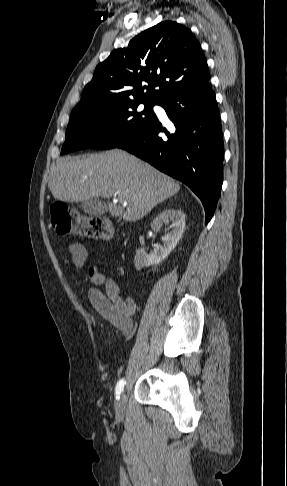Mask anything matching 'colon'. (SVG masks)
Wrapping results in <instances>:
<instances>
[{"mask_svg": "<svg viewBox=\"0 0 287 486\" xmlns=\"http://www.w3.org/2000/svg\"><path fill=\"white\" fill-rule=\"evenodd\" d=\"M50 218L53 229L60 235L75 234L100 240H107L113 235V228L107 218L79 215L62 202L51 205ZM88 275L91 279L98 276L94 269H90Z\"/></svg>", "mask_w": 287, "mask_h": 486, "instance_id": "1", "label": "colon"}]
</instances>
